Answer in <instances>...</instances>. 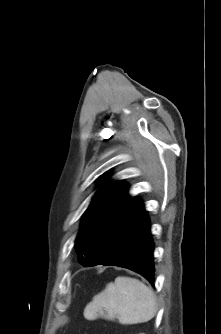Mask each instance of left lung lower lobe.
<instances>
[{
	"instance_id": "1",
	"label": "left lung lower lobe",
	"mask_w": 221,
	"mask_h": 334,
	"mask_svg": "<svg viewBox=\"0 0 221 334\" xmlns=\"http://www.w3.org/2000/svg\"><path fill=\"white\" fill-rule=\"evenodd\" d=\"M154 243L142 201L133 198L100 238L90 266L115 265L135 271L154 286Z\"/></svg>"
}]
</instances>
